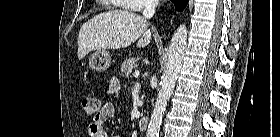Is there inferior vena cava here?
Segmentation results:
<instances>
[{"label": "inferior vena cava", "instance_id": "obj_1", "mask_svg": "<svg viewBox=\"0 0 280 137\" xmlns=\"http://www.w3.org/2000/svg\"><path fill=\"white\" fill-rule=\"evenodd\" d=\"M158 5V0H147L145 9L143 10V16L150 18L155 14V9Z\"/></svg>", "mask_w": 280, "mask_h": 137}]
</instances>
